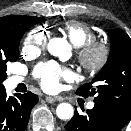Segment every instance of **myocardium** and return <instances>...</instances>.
<instances>
[{
    "label": "myocardium",
    "instance_id": "1",
    "mask_svg": "<svg viewBox=\"0 0 131 131\" xmlns=\"http://www.w3.org/2000/svg\"><path fill=\"white\" fill-rule=\"evenodd\" d=\"M111 56L110 47L102 42L93 40L77 50V59L80 66L87 72L97 73L108 64Z\"/></svg>",
    "mask_w": 131,
    "mask_h": 131
}]
</instances>
